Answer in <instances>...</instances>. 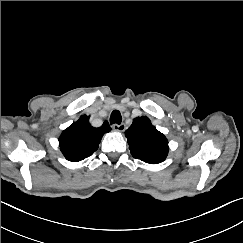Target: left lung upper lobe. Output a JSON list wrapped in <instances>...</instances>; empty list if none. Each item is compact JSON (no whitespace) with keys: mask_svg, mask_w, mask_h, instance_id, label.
<instances>
[{"mask_svg":"<svg viewBox=\"0 0 243 243\" xmlns=\"http://www.w3.org/2000/svg\"><path fill=\"white\" fill-rule=\"evenodd\" d=\"M129 149L134 158L146 163L163 162L168 154V140L147 117H138L126 130Z\"/></svg>","mask_w":243,"mask_h":243,"instance_id":"left-lung-upper-lobe-1","label":"left lung upper lobe"}]
</instances>
